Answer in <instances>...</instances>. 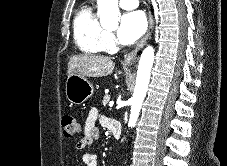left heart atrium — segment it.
I'll use <instances>...</instances> for the list:
<instances>
[{
    "mask_svg": "<svg viewBox=\"0 0 227 166\" xmlns=\"http://www.w3.org/2000/svg\"><path fill=\"white\" fill-rule=\"evenodd\" d=\"M147 29V20L142 11L124 14L117 29V36L121 43L131 44L139 39Z\"/></svg>",
    "mask_w": 227,
    "mask_h": 166,
    "instance_id": "1",
    "label": "left heart atrium"
}]
</instances>
